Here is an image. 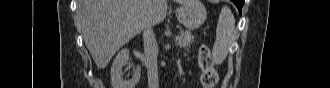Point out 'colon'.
<instances>
[{
  "label": "colon",
  "mask_w": 330,
  "mask_h": 88,
  "mask_svg": "<svg viewBox=\"0 0 330 88\" xmlns=\"http://www.w3.org/2000/svg\"><path fill=\"white\" fill-rule=\"evenodd\" d=\"M199 67L201 69V83L204 88H213L218 80L209 49L201 46L199 49Z\"/></svg>",
  "instance_id": "1"
}]
</instances>
